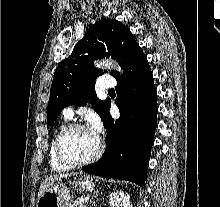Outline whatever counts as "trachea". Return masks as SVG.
<instances>
[{"instance_id":"trachea-1","label":"trachea","mask_w":220,"mask_h":207,"mask_svg":"<svg viewBox=\"0 0 220 207\" xmlns=\"http://www.w3.org/2000/svg\"><path fill=\"white\" fill-rule=\"evenodd\" d=\"M109 92H114V89L109 90Z\"/></svg>"}]
</instances>
